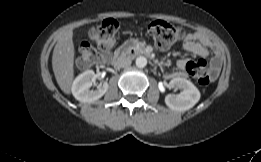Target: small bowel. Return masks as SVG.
Segmentation results:
<instances>
[{
    "label": "small bowel",
    "mask_w": 261,
    "mask_h": 162,
    "mask_svg": "<svg viewBox=\"0 0 261 162\" xmlns=\"http://www.w3.org/2000/svg\"><path fill=\"white\" fill-rule=\"evenodd\" d=\"M199 39L200 37L196 34L187 35L182 44L183 50L204 59L210 58V51L199 42ZM190 63V60L182 59L179 60L178 66L181 69H185L188 68ZM214 65L216 66V62H214Z\"/></svg>",
    "instance_id": "1"
}]
</instances>
